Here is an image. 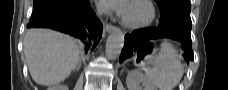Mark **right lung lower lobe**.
<instances>
[{
    "instance_id": "98d812e1",
    "label": "right lung lower lobe",
    "mask_w": 228,
    "mask_h": 90,
    "mask_svg": "<svg viewBox=\"0 0 228 90\" xmlns=\"http://www.w3.org/2000/svg\"><path fill=\"white\" fill-rule=\"evenodd\" d=\"M89 0H35L27 27H46L67 33L94 48L101 39L102 25L89 7Z\"/></svg>"
}]
</instances>
